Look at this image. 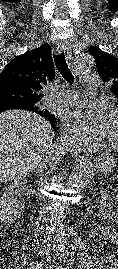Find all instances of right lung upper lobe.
<instances>
[{
    "label": "right lung upper lobe",
    "instance_id": "obj_1",
    "mask_svg": "<svg viewBox=\"0 0 118 269\" xmlns=\"http://www.w3.org/2000/svg\"><path fill=\"white\" fill-rule=\"evenodd\" d=\"M54 72L51 46L48 44L15 57L0 73V105L17 103L15 96L30 98L36 105L29 107L50 121L54 128L55 116L40 106L44 96L43 89L54 79Z\"/></svg>",
    "mask_w": 118,
    "mask_h": 269
}]
</instances>
